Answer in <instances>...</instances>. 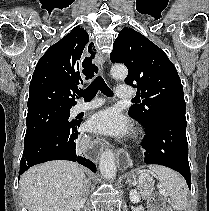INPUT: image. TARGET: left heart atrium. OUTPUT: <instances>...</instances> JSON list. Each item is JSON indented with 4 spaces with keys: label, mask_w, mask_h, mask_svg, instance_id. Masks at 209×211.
<instances>
[{
    "label": "left heart atrium",
    "mask_w": 209,
    "mask_h": 211,
    "mask_svg": "<svg viewBox=\"0 0 209 211\" xmlns=\"http://www.w3.org/2000/svg\"><path fill=\"white\" fill-rule=\"evenodd\" d=\"M90 131L110 137H123L130 131L128 119L116 108L110 107L93 114L88 121Z\"/></svg>",
    "instance_id": "left-heart-atrium-1"
}]
</instances>
